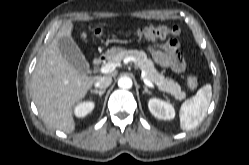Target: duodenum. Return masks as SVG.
Segmentation results:
<instances>
[{"label":"duodenum","mask_w":249,"mask_h":165,"mask_svg":"<svg viewBox=\"0 0 249 165\" xmlns=\"http://www.w3.org/2000/svg\"><path fill=\"white\" fill-rule=\"evenodd\" d=\"M105 60H106L105 55H101V56L96 57L93 60V67L96 69L99 68L104 63Z\"/></svg>","instance_id":"1"}]
</instances>
